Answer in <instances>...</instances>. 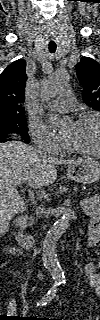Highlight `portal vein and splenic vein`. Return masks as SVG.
Listing matches in <instances>:
<instances>
[{
	"label": "portal vein and splenic vein",
	"mask_w": 100,
	"mask_h": 320,
	"mask_svg": "<svg viewBox=\"0 0 100 320\" xmlns=\"http://www.w3.org/2000/svg\"><path fill=\"white\" fill-rule=\"evenodd\" d=\"M16 184H20V182H16ZM40 193H39V196H41V197H47V194L45 193V191H39Z\"/></svg>",
	"instance_id": "1"
}]
</instances>
